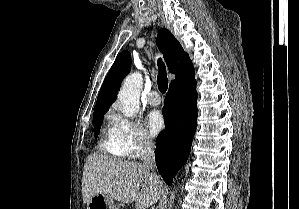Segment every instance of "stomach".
<instances>
[{
	"label": "stomach",
	"mask_w": 299,
	"mask_h": 209,
	"mask_svg": "<svg viewBox=\"0 0 299 209\" xmlns=\"http://www.w3.org/2000/svg\"><path fill=\"white\" fill-rule=\"evenodd\" d=\"M87 209H117L113 199L103 194L94 195L87 203Z\"/></svg>",
	"instance_id": "stomach-1"
}]
</instances>
